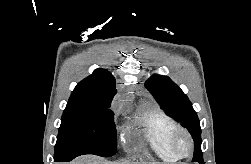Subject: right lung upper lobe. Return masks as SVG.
<instances>
[{"label":"right lung upper lobe","mask_w":251,"mask_h":164,"mask_svg":"<svg viewBox=\"0 0 251 164\" xmlns=\"http://www.w3.org/2000/svg\"><path fill=\"white\" fill-rule=\"evenodd\" d=\"M115 94V78L112 74L107 70L96 69L92 75L77 84L69 100L111 105Z\"/></svg>","instance_id":"1"}]
</instances>
